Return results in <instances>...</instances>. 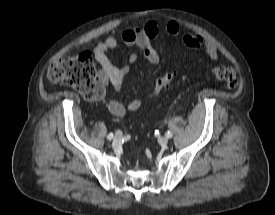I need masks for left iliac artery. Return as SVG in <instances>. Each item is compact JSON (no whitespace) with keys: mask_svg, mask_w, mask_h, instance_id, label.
<instances>
[{"mask_svg":"<svg viewBox=\"0 0 275 215\" xmlns=\"http://www.w3.org/2000/svg\"><path fill=\"white\" fill-rule=\"evenodd\" d=\"M173 136V134L170 132V131H168L167 133H166V137L167 138H171Z\"/></svg>","mask_w":275,"mask_h":215,"instance_id":"obj_1","label":"left iliac artery"}]
</instances>
